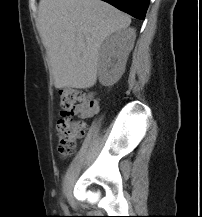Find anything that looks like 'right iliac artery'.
<instances>
[{
  "instance_id": "1",
  "label": "right iliac artery",
  "mask_w": 202,
  "mask_h": 217,
  "mask_svg": "<svg viewBox=\"0 0 202 217\" xmlns=\"http://www.w3.org/2000/svg\"><path fill=\"white\" fill-rule=\"evenodd\" d=\"M62 208L64 211H67V207L64 204H62Z\"/></svg>"
}]
</instances>
